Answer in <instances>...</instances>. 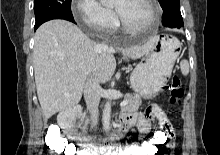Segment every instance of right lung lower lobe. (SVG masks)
I'll list each match as a JSON object with an SVG mask.
<instances>
[{
  "label": "right lung lower lobe",
  "mask_w": 220,
  "mask_h": 155,
  "mask_svg": "<svg viewBox=\"0 0 220 155\" xmlns=\"http://www.w3.org/2000/svg\"><path fill=\"white\" fill-rule=\"evenodd\" d=\"M52 19H65V20H68V21H72L74 22V18L73 17H70V16H67V15H54V16H51L41 22H38L35 24L34 26V29H37L42 23L46 22V21H49V20H52Z\"/></svg>",
  "instance_id": "98d812e1"
}]
</instances>
